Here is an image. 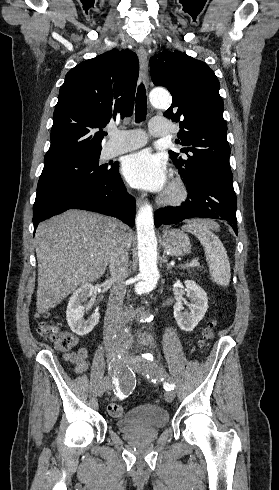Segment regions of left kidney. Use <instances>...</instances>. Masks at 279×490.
I'll return each mask as SVG.
<instances>
[{"instance_id":"obj_1","label":"left kidney","mask_w":279,"mask_h":490,"mask_svg":"<svg viewBox=\"0 0 279 490\" xmlns=\"http://www.w3.org/2000/svg\"><path fill=\"white\" fill-rule=\"evenodd\" d=\"M185 286L186 296L190 300L188 304L190 312H183L184 298H181V300H177L176 304H174L173 314L177 326L183 332H192L197 324L203 320L208 310V296L205 290L197 286L193 280H186Z\"/></svg>"}]
</instances>
